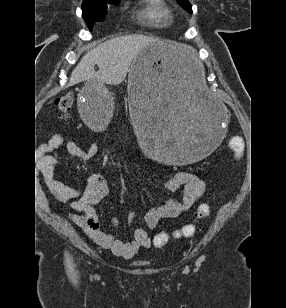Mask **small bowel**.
Listing matches in <instances>:
<instances>
[{"instance_id":"1","label":"small bowel","mask_w":286,"mask_h":308,"mask_svg":"<svg viewBox=\"0 0 286 308\" xmlns=\"http://www.w3.org/2000/svg\"><path fill=\"white\" fill-rule=\"evenodd\" d=\"M60 147H64L70 155L85 160L96 154L97 146L92 144L87 150H83L72 140H66L60 134H54L41 147L40 172L44 182L57 200L71 201V208L76 212L70 215L71 221L96 244L109 249L116 256L131 258L140 249L149 248L151 240L145 229H136L133 240L130 242L120 240L100 229L94 206L107 196L109 191L107 180L100 173L91 174L82 189L70 187L59 181L54 175L58 160L48 152ZM164 187L172 193L181 190V197L173 196L165 203L150 208L143 215L132 213L129 221L138 218L145 223L148 229H154L162 219L175 218L184 214L203 195L205 182L196 173L180 171L167 178L164 181ZM111 221L114 227L118 226L116 217H112Z\"/></svg>"}]
</instances>
